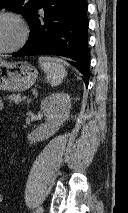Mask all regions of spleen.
<instances>
[{
	"label": "spleen",
	"mask_w": 128,
	"mask_h": 213,
	"mask_svg": "<svg viewBox=\"0 0 128 213\" xmlns=\"http://www.w3.org/2000/svg\"><path fill=\"white\" fill-rule=\"evenodd\" d=\"M39 63L52 87L62 83L67 75V71L63 65L64 61L62 59L55 57H40Z\"/></svg>",
	"instance_id": "obj_1"
}]
</instances>
